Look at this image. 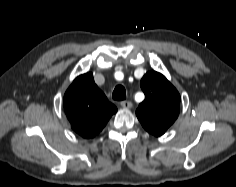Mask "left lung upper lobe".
<instances>
[{"label": "left lung upper lobe", "mask_w": 236, "mask_h": 187, "mask_svg": "<svg viewBox=\"0 0 236 187\" xmlns=\"http://www.w3.org/2000/svg\"><path fill=\"white\" fill-rule=\"evenodd\" d=\"M140 86L145 100L136 115L144 129L155 136L163 135L179 115L180 95L175 87L160 73L147 72Z\"/></svg>", "instance_id": "obj_1"}]
</instances>
